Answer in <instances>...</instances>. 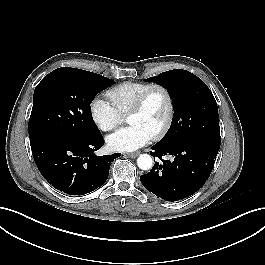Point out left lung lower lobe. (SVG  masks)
Here are the masks:
<instances>
[{"label":"left lung lower lobe","instance_id":"obj_1","mask_svg":"<svg viewBox=\"0 0 265 265\" xmlns=\"http://www.w3.org/2000/svg\"><path fill=\"white\" fill-rule=\"evenodd\" d=\"M220 147L201 140L186 139L172 144H155L150 152L163 163L140 176L142 185L166 201L194 194L209 178ZM162 156H171L164 160Z\"/></svg>","mask_w":265,"mask_h":265}]
</instances>
